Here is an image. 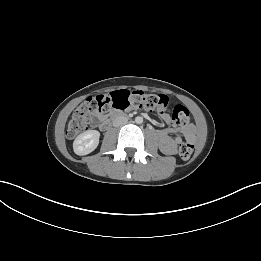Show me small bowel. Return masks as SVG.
<instances>
[{
  "label": "small bowel",
  "instance_id": "1",
  "mask_svg": "<svg viewBox=\"0 0 261 261\" xmlns=\"http://www.w3.org/2000/svg\"><path fill=\"white\" fill-rule=\"evenodd\" d=\"M160 117L165 123H171V117L167 113L160 112ZM105 119L106 114L98 113L94 117L93 124H95L96 122H102ZM173 132H181L189 141H193L195 138V130L194 127L191 125L180 127L177 129L158 130L156 132V137L158 140L159 148L163 153L167 155L175 154L177 152L178 145L182 142L181 136H172Z\"/></svg>",
  "mask_w": 261,
  "mask_h": 261
}]
</instances>
